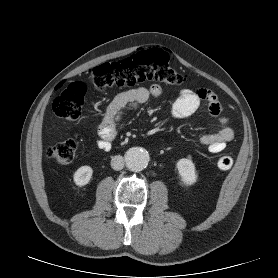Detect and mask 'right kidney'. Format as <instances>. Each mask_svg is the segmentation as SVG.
<instances>
[{
  "instance_id": "right-kidney-1",
  "label": "right kidney",
  "mask_w": 278,
  "mask_h": 278,
  "mask_svg": "<svg viewBox=\"0 0 278 278\" xmlns=\"http://www.w3.org/2000/svg\"><path fill=\"white\" fill-rule=\"evenodd\" d=\"M92 174H93V170L90 166H81L74 173L75 184L80 187L85 186L90 182Z\"/></svg>"
}]
</instances>
